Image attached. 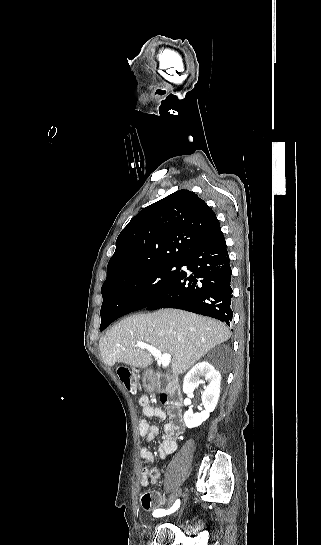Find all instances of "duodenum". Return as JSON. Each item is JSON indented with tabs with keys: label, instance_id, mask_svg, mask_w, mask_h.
<instances>
[{
	"label": "duodenum",
	"instance_id": "duodenum-1",
	"mask_svg": "<svg viewBox=\"0 0 321 545\" xmlns=\"http://www.w3.org/2000/svg\"><path fill=\"white\" fill-rule=\"evenodd\" d=\"M146 382L150 389L160 393V399L163 403L171 404L174 407L181 406V391L178 384L172 379L160 373L149 371L146 373Z\"/></svg>",
	"mask_w": 321,
	"mask_h": 545
}]
</instances>
